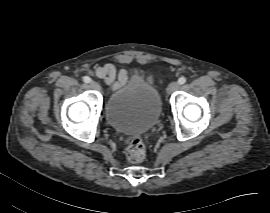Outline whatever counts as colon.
Wrapping results in <instances>:
<instances>
[{
	"instance_id": "colon-1",
	"label": "colon",
	"mask_w": 270,
	"mask_h": 213,
	"mask_svg": "<svg viewBox=\"0 0 270 213\" xmlns=\"http://www.w3.org/2000/svg\"><path fill=\"white\" fill-rule=\"evenodd\" d=\"M126 157L132 163H139L145 159L146 146L141 136L131 139L126 149Z\"/></svg>"
}]
</instances>
